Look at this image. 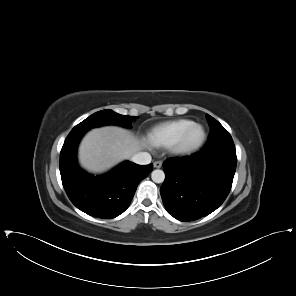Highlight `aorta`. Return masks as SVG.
Here are the masks:
<instances>
[{"instance_id":"762f6f07","label":"aorta","mask_w":296,"mask_h":296,"mask_svg":"<svg viewBox=\"0 0 296 296\" xmlns=\"http://www.w3.org/2000/svg\"><path fill=\"white\" fill-rule=\"evenodd\" d=\"M151 178L155 183H162L165 179V174L162 170L156 169L152 172Z\"/></svg>"}]
</instances>
